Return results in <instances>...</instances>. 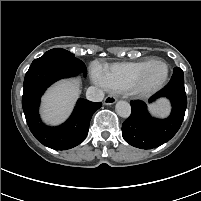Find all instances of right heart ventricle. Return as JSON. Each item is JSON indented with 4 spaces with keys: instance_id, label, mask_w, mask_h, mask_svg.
I'll list each match as a JSON object with an SVG mask.
<instances>
[{
    "instance_id": "right-heart-ventricle-1",
    "label": "right heart ventricle",
    "mask_w": 201,
    "mask_h": 201,
    "mask_svg": "<svg viewBox=\"0 0 201 201\" xmlns=\"http://www.w3.org/2000/svg\"><path fill=\"white\" fill-rule=\"evenodd\" d=\"M154 59H145L136 62L115 63L102 69L107 88L121 92L128 90L138 75L151 63Z\"/></svg>"
}]
</instances>
